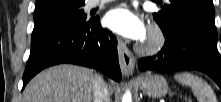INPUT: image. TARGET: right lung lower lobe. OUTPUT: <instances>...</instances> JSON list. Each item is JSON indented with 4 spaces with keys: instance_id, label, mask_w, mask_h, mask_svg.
Instances as JSON below:
<instances>
[{
    "instance_id": "obj_1",
    "label": "right lung lower lobe",
    "mask_w": 221,
    "mask_h": 102,
    "mask_svg": "<svg viewBox=\"0 0 221 102\" xmlns=\"http://www.w3.org/2000/svg\"><path fill=\"white\" fill-rule=\"evenodd\" d=\"M61 63L95 68L116 81L121 79L117 40L101 28L98 17L58 27L34 41L23 74V88L44 68Z\"/></svg>"
}]
</instances>
